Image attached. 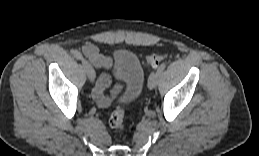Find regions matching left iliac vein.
<instances>
[{
    "mask_svg": "<svg viewBox=\"0 0 259 156\" xmlns=\"http://www.w3.org/2000/svg\"><path fill=\"white\" fill-rule=\"evenodd\" d=\"M157 76V73H153L152 77L148 80V88L150 90L155 89L156 85H155V78Z\"/></svg>",
    "mask_w": 259,
    "mask_h": 156,
    "instance_id": "left-iliac-vein-1",
    "label": "left iliac vein"
}]
</instances>
